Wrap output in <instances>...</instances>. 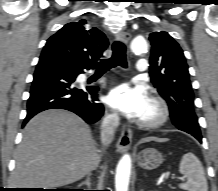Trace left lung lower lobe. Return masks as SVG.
<instances>
[{
	"label": "left lung lower lobe",
	"mask_w": 218,
	"mask_h": 191,
	"mask_svg": "<svg viewBox=\"0 0 218 191\" xmlns=\"http://www.w3.org/2000/svg\"><path fill=\"white\" fill-rule=\"evenodd\" d=\"M190 118V114L189 113H187V109H185L184 111H183V113H181L180 114V117H178V119H180V120H178L177 122H175V123H173L178 129H180V130H182V131H185L184 129H183V127L181 126V124H180V121H188V119ZM186 132V131H185ZM187 133H189V134H191V135H193L195 138H197L200 142H202V136H201V133H197V132H187Z\"/></svg>",
	"instance_id": "obj_1"
}]
</instances>
